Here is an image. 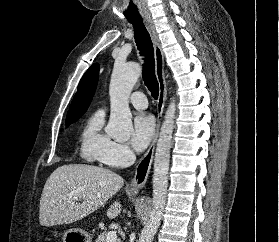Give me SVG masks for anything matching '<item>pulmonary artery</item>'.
Segmentation results:
<instances>
[{
	"label": "pulmonary artery",
	"mask_w": 279,
	"mask_h": 242,
	"mask_svg": "<svg viewBox=\"0 0 279 242\" xmlns=\"http://www.w3.org/2000/svg\"><path fill=\"white\" fill-rule=\"evenodd\" d=\"M129 101L136 109H145L148 106L147 98L142 92H134Z\"/></svg>",
	"instance_id": "1"
}]
</instances>
